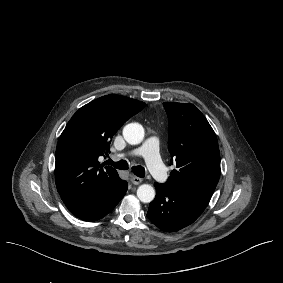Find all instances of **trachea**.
Wrapping results in <instances>:
<instances>
[{"label": "trachea", "instance_id": "3493384b", "mask_svg": "<svg viewBox=\"0 0 283 283\" xmlns=\"http://www.w3.org/2000/svg\"><path fill=\"white\" fill-rule=\"evenodd\" d=\"M107 164L113 165L115 168L120 169V170H126L128 169V163L125 160H120L118 162H113L111 159L106 161ZM133 173L140 177L143 178L146 176V171L144 167L142 166H134L132 168Z\"/></svg>", "mask_w": 283, "mask_h": 283}]
</instances>
